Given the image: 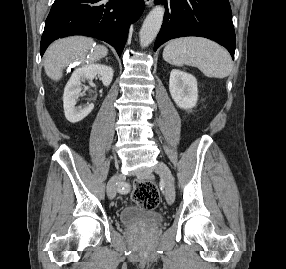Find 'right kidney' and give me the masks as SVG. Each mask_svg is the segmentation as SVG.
I'll list each match as a JSON object with an SVG mask.
<instances>
[{"label":"right kidney","instance_id":"obj_1","mask_svg":"<svg viewBox=\"0 0 286 269\" xmlns=\"http://www.w3.org/2000/svg\"><path fill=\"white\" fill-rule=\"evenodd\" d=\"M96 75L101 77L104 86H109L113 79V69L101 64L85 65L76 69L64 89L63 103L66 119L71 123L83 120L93 110L94 105L88 103L84 107L76 108V99L81 92V82L92 81Z\"/></svg>","mask_w":286,"mask_h":269}]
</instances>
